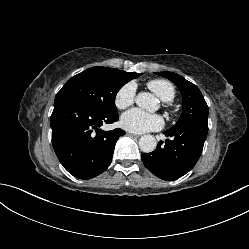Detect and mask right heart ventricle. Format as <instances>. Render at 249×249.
<instances>
[{
    "label": "right heart ventricle",
    "instance_id": "obj_1",
    "mask_svg": "<svg viewBox=\"0 0 249 249\" xmlns=\"http://www.w3.org/2000/svg\"><path fill=\"white\" fill-rule=\"evenodd\" d=\"M147 87L162 101L171 102L175 98L174 86L167 80L154 79L147 83Z\"/></svg>",
    "mask_w": 249,
    "mask_h": 249
}]
</instances>
